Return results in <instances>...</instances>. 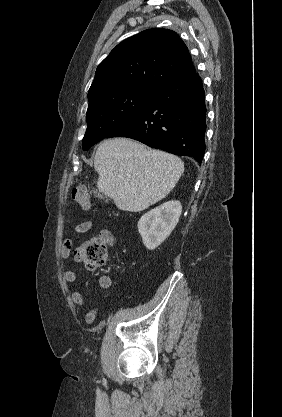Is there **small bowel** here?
Listing matches in <instances>:
<instances>
[{"mask_svg": "<svg viewBox=\"0 0 282 417\" xmlns=\"http://www.w3.org/2000/svg\"><path fill=\"white\" fill-rule=\"evenodd\" d=\"M93 225H94L93 222L90 220L83 221L79 223L78 225H76L70 237L67 238L62 245L61 253H60L62 260H67L69 258L73 241L79 235L84 234L88 232L89 230H91ZM99 237L108 245H113L115 242L114 235L108 229H101L99 232ZM63 275L67 282L72 283V282H75L76 280V273L73 270L65 269L63 272ZM111 284H112V281L108 275L103 274L99 277L98 285L101 290H108L111 287ZM71 299H72V302L77 306L84 305L83 295L78 291H75L71 294ZM97 315H98V306H94L87 312L85 316L86 323L88 324L93 323L96 320Z\"/></svg>", "mask_w": 282, "mask_h": 417, "instance_id": "small-bowel-1", "label": "small bowel"}]
</instances>
